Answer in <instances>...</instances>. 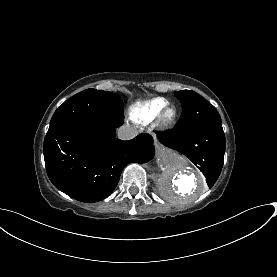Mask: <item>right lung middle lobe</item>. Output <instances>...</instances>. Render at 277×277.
<instances>
[{"instance_id":"1","label":"right lung middle lobe","mask_w":277,"mask_h":277,"mask_svg":"<svg viewBox=\"0 0 277 277\" xmlns=\"http://www.w3.org/2000/svg\"><path fill=\"white\" fill-rule=\"evenodd\" d=\"M123 103L119 95L86 89L65 101L54 113L48 131L65 124L96 118H122Z\"/></svg>"}]
</instances>
